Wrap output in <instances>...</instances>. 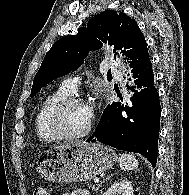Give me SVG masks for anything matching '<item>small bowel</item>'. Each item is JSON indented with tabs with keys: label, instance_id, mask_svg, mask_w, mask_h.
I'll return each instance as SVG.
<instances>
[{
	"label": "small bowel",
	"instance_id": "obj_1",
	"mask_svg": "<svg viewBox=\"0 0 189 195\" xmlns=\"http://www.w3.org/2000/svg\"><path fill=\"white\" fill-rule=\"evenodd\" d=\"M62 195H90V193L84 189H77L72 192H64Z\"/></svg>",
	"mask_w": 189,
	"mask_h": 195
}]
</instances>
